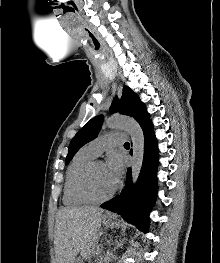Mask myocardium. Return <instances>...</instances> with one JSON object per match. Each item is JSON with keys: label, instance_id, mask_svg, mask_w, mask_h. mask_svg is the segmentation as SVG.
Here are the masks:
<instances>
[{"label": "myocardium", "instance_id": "obj_1", "mask_svg": "<svg viewBox=\"0 0 220 263\" xmlns=\"http://www.w3.org/2000/svg\"><path fill=\"white\" fill-rule=\"evenodd\" d=\"M98 161L93 160L82 172L79 181H78V190L80 194L88 199L90 202H103L110 199L118 190L119 185L113 187V189L105 195H97L94 193L91 186V177L94 170L95 165Z\"/></svg>", "mask_w": 220, "mask_h": 263}]
</instances>
